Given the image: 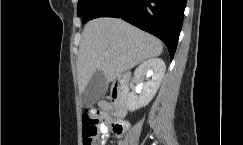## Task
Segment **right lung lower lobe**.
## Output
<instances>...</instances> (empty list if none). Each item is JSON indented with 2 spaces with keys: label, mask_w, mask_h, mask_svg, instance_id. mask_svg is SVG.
<instances>
[{
  "label": "right lung lower lobe",
  "mask_w": 243,
  "mask_h": 145,
  "mask_svg": "<svg viewBox=\"0 0 243 145\" xmlns=\"http://www.w3.org/2000/svg\"><path fill=\"white\" fill-rule=\"evenodd\" d=\"M186 0H95L83 13L82 22L116 17L160 38L173 59L181 31Z\"/></svg>",
  "instance_id": "98d812e1"
}]
</instances>
